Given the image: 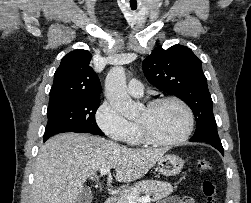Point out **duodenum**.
Wrapping results in <instances>:
<instances>
[{
  "label": "duodenum",
  "instance_id": "obj_1",
  "mask_svg": "<svg viewBox=\"0 0 251 203\" xmlns=\"http://www.w3.org/2000/svg\"><path fill=\"white\" fill-rule=\"evenodd\" d=\"M104 203H116V198L114 196L108 197Z\"/></svg>",
  "mask_w": 251,
  "mask_h": 203
}]
</instances>
